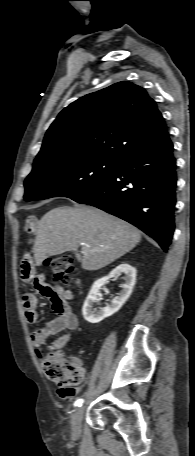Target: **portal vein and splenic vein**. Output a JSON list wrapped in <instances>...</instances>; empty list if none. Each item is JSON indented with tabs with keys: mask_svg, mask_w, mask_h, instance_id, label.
Masks as SVG:
<instances>
[{
	"mask_svg": "<svg viewBox=\"0 0 195 456\" xmlns=\"http://www.w3.org/2000/svg\"><path fill=\"white\" fill-rule=\"evenodd\" d=\"M80 245H81L82 247H84V246H85V244H84V243H81Z\"/></svg>",
	"mask_w": 195,
	"mask_h": 456,
	"instance_id": "portal-vein-and-splenic-vein-1",
	"label": "portal vein and splenic vein"
}]
</instances>
